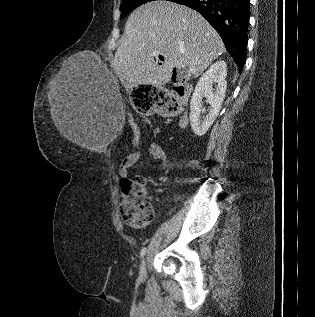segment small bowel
<instances>
[{
	"label": "small bowel",
	"mask_w": 315,
	"mask_h": 317,
	"mask_svg": "<svg viewBox=\"0 0 315 317\" xmlns=\"http://www.w3.org/2000/svg\"><path fill=\"white\" fill-rule=\"evenodd\" d=\"M148 152L151 161L160 162L162 165L166 164V154L160 144L152 142L149 145ZM140 157L141 151L137 150L130 153L123 159L119 168L121 181L129 178L131 168H133L136 165Z\"/></svg>",
	"instance_id": "c3829d8e"
}]
</instances>
